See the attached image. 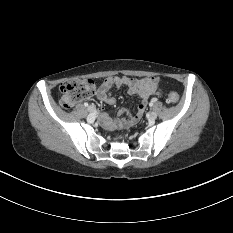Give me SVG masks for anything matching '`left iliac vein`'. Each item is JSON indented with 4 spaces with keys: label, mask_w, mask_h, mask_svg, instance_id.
Here are the masks:
<instances>
[{
    "label": "left iliac vein",
    "mask_w": 233,
    "mask_h": 233,
    "mask_svg": "<svg viewBox=\"0 0 233 233\" xmlns=\"http://www.w3.org/2000/svg\"><path fill=\"white\" fill-rule=\"evenodd\" d=\"M149 120H155L157 118V113L152 111L148 114Z\"/></svg>",
    "instance_id": "1"
}]
</instances>
